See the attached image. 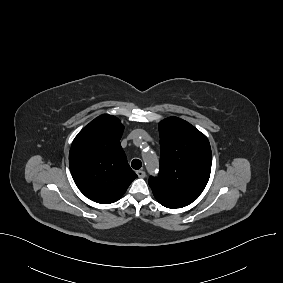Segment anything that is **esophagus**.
<instances>
[{
  "label": "esophagus",
  "instance_id": "34e87169",
  "mask_svg": "<svg viewBox=\"0 0 283 283\" xmlns=\"http://www.w3.org/2000/svg\"><path fill=\"white\" fill-rule=\"evenodd\" d=\"M136 173L139 178H144L146 176V173L144 170H138Z\"/></svg>",
  "mask_w": 283,
  "mask_h": 283
}]
</instances>
